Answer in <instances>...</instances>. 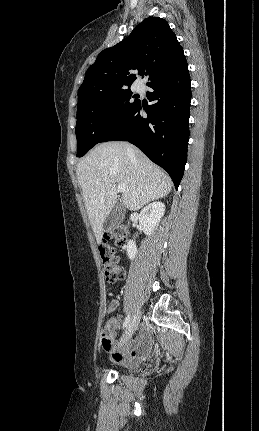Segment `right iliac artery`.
<instances>
[{
    "mask_svg": "<svg viewBox=\"0 0 259 431\" xmlns=\"http://www.w3.org/2000/svg\"><path fill=\"white\" fill-rule=\"evenodd\" d=\"M129 321H130V315H128V316L125 318V321H124V323H123V328L127 327V325H128V323H129Z\"/></svg>",
    "mask_w": 259,
    "mask_h": 431,
    "instance_id": "1",
    "label": "right iliac artery"
}]
</instances>
